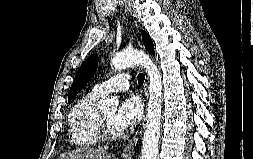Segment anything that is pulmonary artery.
<instances>
[{"instance_id": "1", "label": "pulmonary artery", "mask_w": 253, "mask_h": 159, "mask_svg": "<svg viewBox=\"0 0 253 159\" xmlns=\"http://www.w3.org/2000/svg\"><path fill=\"white\" fill-rule=\"evenodd\" d=\"M129 86V75L127 73H120L94 85L92 92L101 96L111 92L126 91Z\"/></svg>"}]
</instances>
